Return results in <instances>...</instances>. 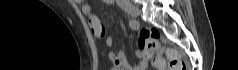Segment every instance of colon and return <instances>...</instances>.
<instances>
[{
  "label": "colon",
  "instance_id": "obj_1",
  "mask_svg": "<svg viewBox=\"0 0 238 70\" xmlns=\"http://www.w3.org/2000/svg\"><path fill=\"white\" fill-rule=\"evenodd\" d=\"M142 38L144 39L145 49L148 54L155 53L156 56L153 60V65L159 70H163L166 66V62L163 56L169 61L170 70H187L186 64L180 58L176 50L172 48H161L158 46V32L155 30H145L141 33Z\"/></svg>",
  "mask_w": 238,
  "mask_h": 70
}]
</instances>
